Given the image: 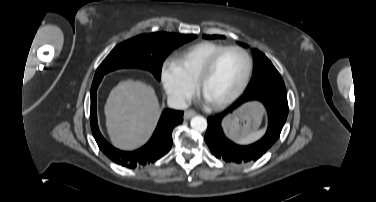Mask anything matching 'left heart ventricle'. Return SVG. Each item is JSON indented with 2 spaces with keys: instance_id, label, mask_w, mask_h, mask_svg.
Here are the masks:
<instances>
[{
  "instance_id": "1",
  "label": "left heart ventricle",
  "mask_w": 376,
  "mask_h": 202,
  "mask_svg": "<svg viewBox=\"0 0 376 202\" xmlns=\"http://www.w3.org/2000/svg\"><path fill=\"white\" fill-rule=\"evenodd\" d=\"M246 71V60L237 51L222 56L204 84V98L211 103L231 95L241 84Z\"/></svg>"
}]
</instances>
